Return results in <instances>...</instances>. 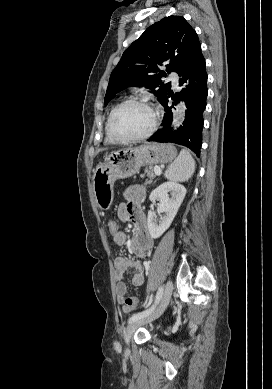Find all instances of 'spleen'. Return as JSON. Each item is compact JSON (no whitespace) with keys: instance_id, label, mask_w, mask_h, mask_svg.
<instances>
[{"instance_id":"3e777b00","label":"spleen","mask_w":272,"mask_h":389,"mask_svg":"<svg viewBox=\"0 0 272 389\" xmlns=\"http://www.w3.org/2000/svg\"><path fill=\"white\" fill-rule=\"evenodd\" d=\"M195 171V161L186 149L180 151L179 156L165 171V177L171 181L184 182L190 179Z\"/></svg>"}]
</instances>
